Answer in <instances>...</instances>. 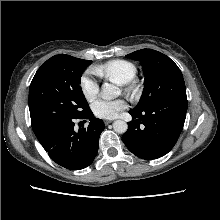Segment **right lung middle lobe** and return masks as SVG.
<instances>
[{"label":"right lung middle lobe","instance_id":"dd1d6c3e","mask_svg":"<svg viewBox=\"0 0 220 220\" xmlns=\"http://www.w3.org/2000/svg\"><path fill=\"white\" fill-rule=\"evenodd\" d=\"M91 63V60L61 54L51 57L38 69L29 88V109L34 133L90 109L80 79L83 70Z\"/></svg>","mask_w":220,"mask_h":220}]
</instances>
